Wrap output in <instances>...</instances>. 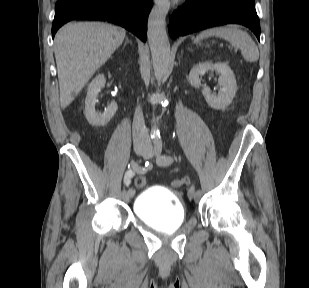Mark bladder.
Wrapping results in <instances>:
<instances>
[{
  "instance_id": "obj_1",
  "label": "bladder",
  "mask_w": 309,
  "mask_h": 288,
  "mask_svg": "<svg viewBox=\"0 0 309 288\" xmlns=\"http://www.w3.org/2000/svg\"><path fill=\"white\" fill-rule=\"evenodd\" d=\"M134 212L144 224L163 232L178 229L186 218L181 196L154 186L145 188L136 197Z\"/></svg>"
}]
</instances>
